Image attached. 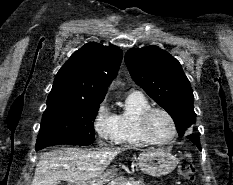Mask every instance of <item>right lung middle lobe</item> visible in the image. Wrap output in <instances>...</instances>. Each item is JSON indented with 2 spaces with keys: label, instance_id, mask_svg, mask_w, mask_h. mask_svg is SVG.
Returning <instances> with one entry per match:
<instances>
[{
  "label": "right lung middle lobe",
  "instance_id": "obj_1",
  "mask_svg": "<svg viewBox=\"0 0 233 185\" xmlns=\"http://www.w3.org/2000/svg\"><path fill=\"white\" fill-rule=\"evenodd\" d=\"M102 100L49 95L36 150L57 144L90 145L95 140L93 121Z\"/></svg>",
  "mask_w": 233,
  "mask_h": 185
}]
</instances>
